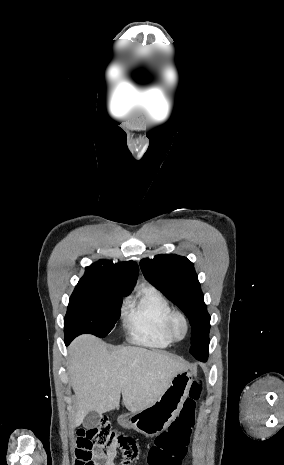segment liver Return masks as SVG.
I'll list each match as a JSON object with an SVG mask.
<instances>
[{
	"label": "liver",
	"mask_w": 284,
	"mask_h": 465,
	"mask_svg": "<svg viewBox=\"0 0 284 465\" xmlns=\"http://www.w3.org/2000/svg\"><path fill=\"white\" fill-rule=\"evenodd\" d=\"M68 353L77 409L72 427H80L90 411L102 415L118 409L121 393L128 411H142L157 401L175 375L188 369L186 361L164 351L121 347L110 353L93 335L77 337Z\"/></svg>",
	"instance_id": "1"
}]
</instances>
